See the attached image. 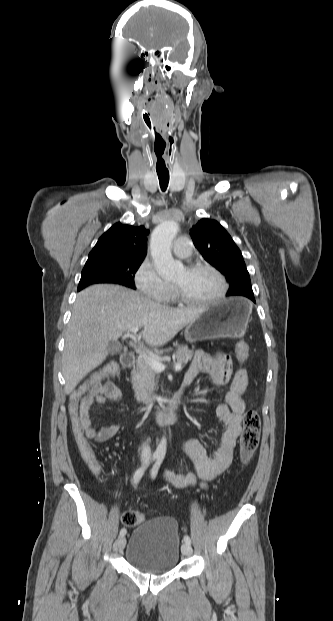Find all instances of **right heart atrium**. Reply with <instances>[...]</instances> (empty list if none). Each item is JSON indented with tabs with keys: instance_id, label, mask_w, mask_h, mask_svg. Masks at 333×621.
<instances>
[{
	"instance_id": "d8ad5b80",
	"label": "right heart atrium",
	"mask_w": 333,
	"mask_h": 621,
	"mask_svg": "<svg viewBox=\"0 0 333 621\" xmlns=\"http://www.w3.org/2000/svg\"><path fill=\"white\" fill-rule=\"evenodd\" d=\"M137 289L148 298L164 302L169 297L172 287L159 275L156 267L148 260L141 263L135 274Z\"/></svg>"
}]
</instances>
